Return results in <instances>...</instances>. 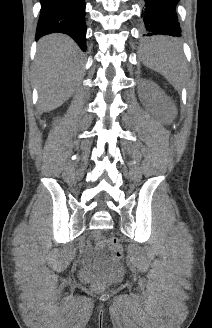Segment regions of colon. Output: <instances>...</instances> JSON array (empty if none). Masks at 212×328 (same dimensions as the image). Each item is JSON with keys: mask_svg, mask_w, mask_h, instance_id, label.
Wrapping results in <instances>:
<instances>
[{"mask_svg": "<svg viewBox=\"0 0 212 328\" xmlns=\"http://www.w3.org/2000/svg\"><path fill=\"white\" fill-rule=\"evenodd\" d=\"M96 242L100 246H106L111 251L112 259L115 262H119L123 257L122 247L119 241L115 237L103 238L101 236L96 237Z\"/></svg>", "mask_w": 212, "mask_h": 328, "instance_id": "obj_1", "label": "colon"}]
</instances>
